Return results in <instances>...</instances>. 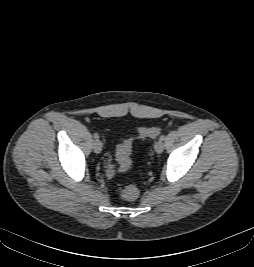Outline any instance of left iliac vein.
<instances>
[{"instance_id": "4c4485c4", "label": "left iliac vein", "mask_w": 254, "mask_h": 267, "mask_svg": "<svg viewBox=\"0 0 254 267\" xmlns=\"http://www.w3.org/2000/svg\"><path fill=\"white\" fill-rule=\"evenodd\" d=\"M154 149L157 153H161L164 149V143L162 140H158L154 144Z\"/></svg>"}]
</instances>
